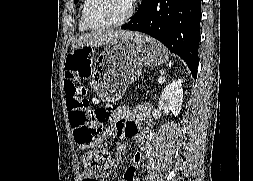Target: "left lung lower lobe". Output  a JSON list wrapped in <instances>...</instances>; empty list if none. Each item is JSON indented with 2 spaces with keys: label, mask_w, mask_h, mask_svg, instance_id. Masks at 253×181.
<instances>
[{
  "label": "left lung lower lobe",
  "mask_w": 253,
  "mask_h": 181,
  "mask_svg": "<svg viewBox=\"0 0 253 181\" xmlns=\"http://www.w3.org/2000/svg\"><path fill=\"white\" fill-rule=\"evenodd\" d=\"M201 0H142L121 28L146 33L179 55L197 77Z\"/></svg>",
  "instance_id": "1"
}]
</instances>
